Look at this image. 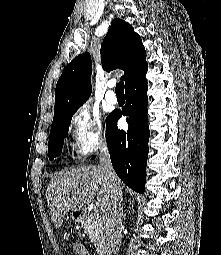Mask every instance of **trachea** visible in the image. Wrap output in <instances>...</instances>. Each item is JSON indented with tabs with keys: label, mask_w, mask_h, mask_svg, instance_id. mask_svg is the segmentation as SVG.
Returning a JSON list of instances; mask_svg holds the SVG:
<instances>
[{
	"label": "trachea",
	"mask_w": 221,
	"mask_h": 255,
	"mask_svg": "<svg viewBox=\"0 0 221 255\" xmlns=\"http://www.w3.org/2000/svg\"><path fill=\"white\" fill-rule=\"evenodd\" d=\"M115 92L117 94H124V84L122 81H120L118 84H116Z\"/></svg>",
	"instance_id": "1"
}]
</instances>
